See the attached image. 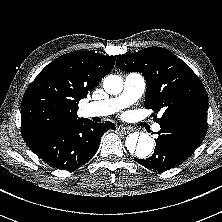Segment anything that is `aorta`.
<instances>
[{
	"mask_svg": "<svg viewBox=\"0 0 222 222\" xmlns=\"http://www.w3.org/2000/svg\"><path fill=\"white\" fill-rule=\"evenodd\" d=\"M103 88L108 94L117 95L123 89V80L118 75H109L103 81ZM125 144L128 153L139 159L147 158L154 147L153 139L147 133H132Z\"/></svg>",
	"mask_w": 222,
	"mask_h": 222,
	"instance_id": "obj_1",
	"label": "aorta"
}]
</instances>
